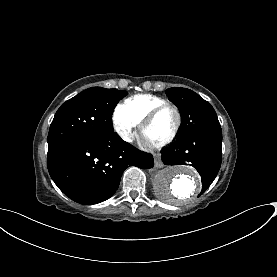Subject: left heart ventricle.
I'll return each mask as SVG.
<instances>
[{
	"label": "left heart ventricle",
	"instance_id": "1",
	"mask_svg": "<svg viewBox=\"0 0 277 277\" xmlns=\"http://www.w3.org/2000/svg\"><path fill=\"white\" fill-rule=\"evenodd\" d=\"M176 113L172 108L163 110L157 119L144 131L143 135L153 144L167 138L176 124Z\"/></svg>",
	"mask_w": 277,
	"mask_h": 277
}]
</instances>
